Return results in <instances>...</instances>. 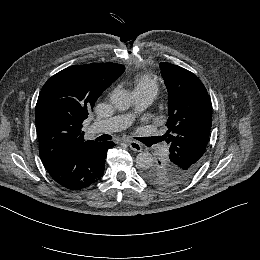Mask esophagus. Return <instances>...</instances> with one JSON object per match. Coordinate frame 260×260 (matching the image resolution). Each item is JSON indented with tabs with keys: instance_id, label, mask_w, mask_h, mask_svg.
Listing matches in <instances>:
<instances>
[{
	"instance_id": "esophagus-1",
	"label": "esophagus",
	"mask_w": 260,
	"mask_h": 260,
	"mask_svg": "<svg viewBox=\"0 0 260 260\" xmlns=\"http://www.w3.org/2000/svg\"><path fill=\"white\" fill-rule=\"evenodd\" d=\"M129 147L136 152H141L143 147L138 141L131 140L128 142Z\"/></svg>"
}]
</instances>
